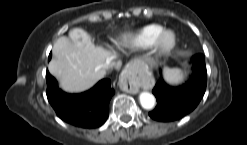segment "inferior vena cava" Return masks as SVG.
I'll return each instance as SVG.
<instances>
[{
	"mask_svg": "<svg viewBox=\"0 0 247 145\" xmlns=\"http://www.w3.org/2000/svg\"><path fill=\"white\" fill-rule=\"evenodd\" d=\"M110 64H111V61L110 60H107L103 65H102V73L105 74L106 71L109 69L110 67Z\"/></svg>",
	"mask_w": 247,
	"mask_h": 145,
	"instance_id": "inferior-vena-cava-1",
	"label": "inferior vena cava"
}]
</instances>
